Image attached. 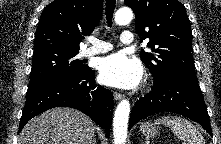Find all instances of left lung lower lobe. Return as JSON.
Here are the masks:
<instances>
[{
  "label": "left lung lower lobe",
  "instance_id": "0a47b994",
  "mask_svg": "<svg viewBox=\"0 0 221 144\" xmlns=\"http://www.w3.org/2000/svg\"><path fill=\"white\" fill-rule=\"evenodd\" d=\"M174 112L203 126L212 136L210 120L198 80L177 75L154 78L151 91L136 101L129 119V130L140 120L159 112Z\"/></svg>",
  "mask_w": 221,
  "mask_h": 144
}]
</instances>
